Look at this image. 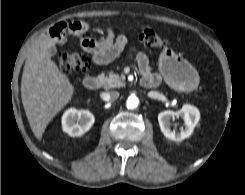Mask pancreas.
Instances as JSON below:
<instances>
[{
    "label": "pancreas",
    "mask_w": 245,
    "mask_h": 195,
    "mask_svg": "<svg viewBox=\"0 0 245 195\" xmlns=\"http://www.w3.org/2000/svg\"><path fill=\"white\" fill-rule=\"evenodd\" d=\"M102 85L106 88H120L124 86V83L120 76L115 73H110L108 76L102 78Z\"/></svg>",
    "instance_id": "pancreas-1"
}]
</instances>
